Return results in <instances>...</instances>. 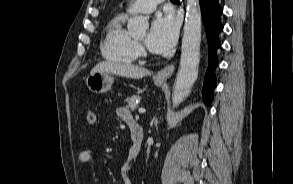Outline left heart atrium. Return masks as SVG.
I'll return each mask as SVG.
<instances>
[{
	"mask_svg": "<svg viewBox=\"0 0 293 184\" xmlns=\"http://www.w3.org/2000/svg\"><path fill=\"white\" fill-rule=\"evenodd\" d=\"M178 25L171 16H158L151 24L146 38L148 49L154 53H165L175 44Z\"/></svg>",
	"mask_w": 293,
	"mask_h": 184,
	"instance_id": "39dd6f15",
	"label": "left heart atrium"
}]
</instances>
